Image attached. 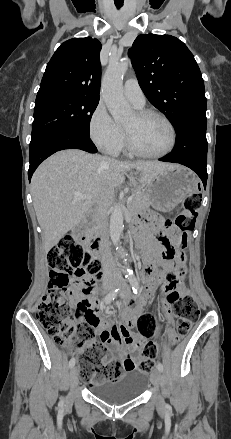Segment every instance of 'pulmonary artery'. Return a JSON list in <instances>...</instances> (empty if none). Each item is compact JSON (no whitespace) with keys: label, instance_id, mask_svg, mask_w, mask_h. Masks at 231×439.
<instances>
[{"label":"pulmonary artery","instance_id":"e3ab8cb5","mask_svg":"<svg viewBox=\"0 0 231 439\" xmlns=\"http://www.w3.org/2000/svg\"><path fill=\"white\" fill-rule=\"evenodd\" d=\"M126 98L137 108L145 105V95L135 78L127 79L123 86Z\"/></svg>","mask_w":231,"mask_h":439}]
</instances>
